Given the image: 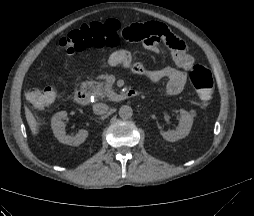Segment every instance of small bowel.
Returning <instances> with one entry per match:
<instances>
[{"mask_svg": "<svg viewBox=\"0 0 254 216\" xmlns=\"http://www.w3.org/2000/svg\"><path fill=\"white\" fill-rule=\"evenodd\" d=\"M118 38L130 44L143 42L145 48L152 52L160 51V48L168 49L173 54L175 67H166L157 70L143 71V66L133 61L132 55L126 50L112 52L107 63L111 67L124 66L144 75L150 85L163 79L167 80L166 92L169 95L181 93L186 85V70L193 63L191 55L187 51L184 41L177 37L166 26L156 22H147L135 25H123L117 31Z\"/></svg>", "mask_w": 254, "mask_h": 216, "instance_id": "c3829d8e", "label": "small bowel"}]
</instances>
